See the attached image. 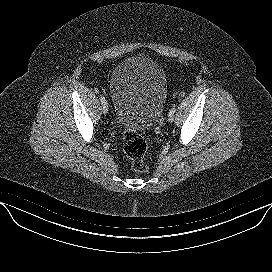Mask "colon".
<instances>
[{"label":"colon","instance_id":"obj_1","mask_svg":"<svg viewBox=\"0 0 272 272\" xmlns=\"http://www.w3.org/2000/svg\"><path fill=\"white\" fill-rule=\"evenodd\" d=\"M147 148V142L139 133L124 134L123 150L131 162L132 169L137 173H145L149 170V165L145 161Z\"/></svg>","mask_w":272,"mask_h":272}]
</instances>
